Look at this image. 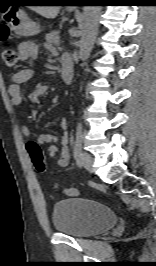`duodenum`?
Wrapping results in <instances>:
<instances>
[{"mask_svg": "<svg viewBox=\"0 0 156 266\" xmlns=\"http://www.w3.org/2000/svg\"><path fill=\"white\" fill-rule=\"evenodd\" d=\"M74 75L73 63L68 56H64L62 59L61 77L64 83L69 84L72 82Z\"/></svg>", "mask_w": 156, "mask_h": 266, "instance_id": "410a0bca", "label": "duodenum"}]
</instances>
